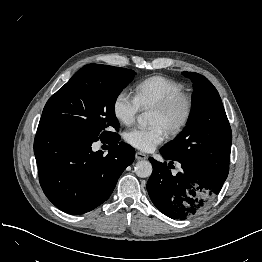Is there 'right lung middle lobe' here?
<instances>
[{
	"instance_id": "dd1d6c3e",
	"label": "right lung middle lobe",
	"mask_w": 262,
	"mask_h": 262,
	"mask_svg": "<svg viewBox=\"0 0 262 262\" xmlns=\"http://www.w3.org/2000/svg\"><path fill=\"white\" fill-rule=\"evenodd\" d=\"M136 72L101 64H88L46 103L39 124L64 127L101 140L116 135L119 123L116 99Z\"/></svg>"
}]
</instances>
